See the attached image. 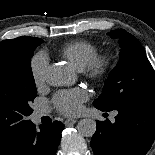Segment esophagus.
<instances>
[{"mask_svg": "<svg viewBox=\"0 0 155 155\" xmlns=\"http://www.w3.org/2000/svg\"><path fill=\"white\" fill-rule=\"evenodd\" d=\"M76 122H77V120H75V119H67V120H65L64 124H65V126L69 127V126L74 125Z\"/></svg>", "mask_w": 155, "mask_h": 155, "instance_id": "esophagus-1", "label": "esophagus"}]
</instances>
